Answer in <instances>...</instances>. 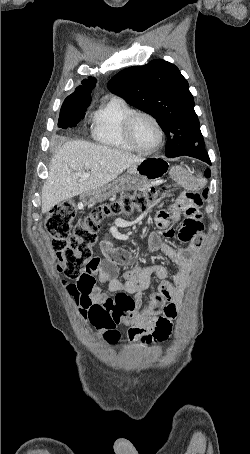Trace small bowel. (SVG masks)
Returning a JSON list of instances; mask_svg holds the SVG:
<instances>
[{"mask_svg": "<svg viewBox=\"0 0 250 454\" xmlns=\"http://www.w3.org/2000/svg\"><path fill=\"white\" fill-rule=\"evenodd\" d=\"M178 182L185 192L169 210H161L157 214L156 224L163 230L162 236L169 238L173 235L171 223L184 217L178 237L187 245L178 249L162 243L158 233H152L147 244L148 252L159 250L176 264L177 272L172 281L167 280L168 271L161 265L133 268L126 272L124 281L119 280L117 267L126 264L131 256L126 250L114 248L108 240H104L101 249L105 259L94 257L76 282L83 318H87L91 305L99 304L116 316L121 324L130 325L128 336L131 341L151 343L166 340L171 335L183 291L204 238L199 190L205 180L183 172L178 176ZM153 277L161 283L144 308L141 293L150 287ZM97 279L106 286L108 293L114 294L113 298L97 286Z\"/></svg>", "mask_w": 250, "mask_h": 454, "instance_id": "1", "label": "small bowel"}]
</instances>
